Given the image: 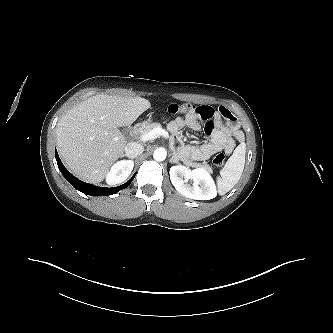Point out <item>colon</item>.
Returning <instances> with one entry per match:
<instances>
[{
  "mask_svg": "<svg viewBox=\"0 0 333 333\" xmlns=\"http://www.w3.org/2000/svg\"><path fill=\"white\" fill-rule=\"evenodd\" d=\"M196 107L189 103H183V104H170L164 112H167L169 114H178V113H185L189 112ZM213 163L216 167L222 168L225 163V155L223 153H218L213 158Z\"/></svg>",
  "mask_w": 333,
  "mask_h": 333,
  "instance_id": "1",
  "label": "colon"
}]
</instances>
